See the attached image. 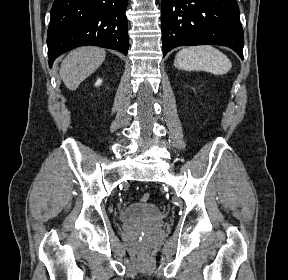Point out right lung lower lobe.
I'll return each instance as SVG.
<instances>
[{"mask_svg":"<svg viewBox=\"0 0 288 280\" xmlns=\"http://www.w3.org/2000/svg\"><path fill=\"white\" fill-rule=\"evenodd\" d=\"M128 0H55L47 32L50 67L64 52L94 45L128 52Z\"/></svg>","mask_w":288,"mask_h":280,"instance_id":"obj_1","label":"right lung lower lobe"}]
</instances>
